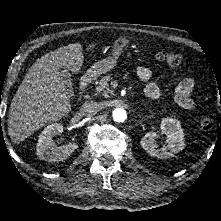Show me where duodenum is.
Returning <instances> with one entry per match:
<instances>
[{
  "mask_svg": "<svg viewBox=\"0 0 221 221\" xmlns=\"http://www.w3.org/2000/svg\"><path fill=\"white\" fill-rule=\"evenodd\" d=\"M92 80H93V77L91 74H85L82 76L80 80V84H79V98L82 97L85 89L90 85Z\"/></svg>",
  "mask_w": 221,
  "mask_h": 221,
  "instance_id": "obj_1",
  "label": "duodenum"
}]
</instances>
